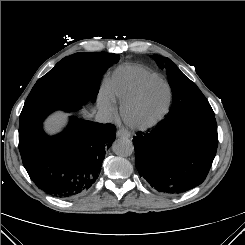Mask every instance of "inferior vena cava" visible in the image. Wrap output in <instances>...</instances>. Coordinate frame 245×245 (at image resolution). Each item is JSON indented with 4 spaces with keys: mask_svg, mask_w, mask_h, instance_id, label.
Listing matches in <instances>:
<instances>
[{
    "mask_svg": "<svg viewBox=\"0 0 245 245\" xmlns=\"http://www.w3.org/2000/svg\"><path fill=\"white\" fill-rule=\"evenodd\" d=\"M95 120L99 123H109L112 121V116L109 113L99 111L95 116Z\"/></svg>",
    "mask_w": 245,
    "mask_h": 245,
    "instance_id": "602c4592",
    "label": "inferior vena cava"
}]
</instances>
